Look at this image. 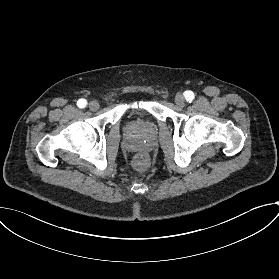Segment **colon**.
I'll use <instances>...</instances> for the list:
<instances>
[{
  "label": "colon",
  "instance_id": "colon-1",
  "mask_svg": "<svg viewBox=\"0 0 279 279\" xmlns=\"http://www.w3.org/2000/svg\"><path fill=\"white\" fill-rule=\"evenodd\" d=\"M131 167L137 173H144L150 167V160L144 154H137L131 160Z\"/></svg>",
  "mask_w": 279,
  "mask_h": 279
}]
</instances>
